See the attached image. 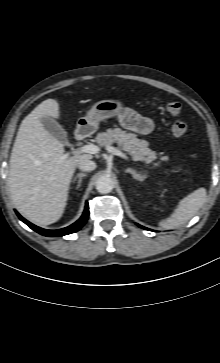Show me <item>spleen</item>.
Returning a JSON list of instances; mask_svg holds the SVG:
<instances>
[{
  "instance_id": "1",
  "label": "spleen",
  "mask_w": 220,
  "mask_h": 363,
  "mask_svg": "<svg viewBox=\"0 0 220 363\" xmlns=\"http://www.w3.org/2000/svg\"><path fill=\"white\" fill-rule=\"evenodd\" d=\"M207 198V192L205 188H199L189 194L187 197L180 200L179 205L173 215L161 222L160 226L163 229L177 228L187 221H189L203 206Z\"/></svg>"
}]
</instances>
